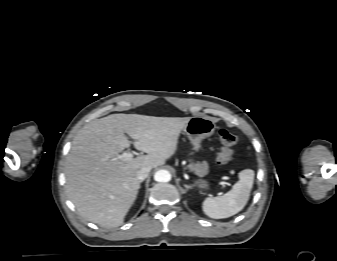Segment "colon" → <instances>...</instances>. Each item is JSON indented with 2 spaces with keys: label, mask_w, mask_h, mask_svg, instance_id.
Segmentation results:
<instances>
[{
  "label": "colon",
  "mask_w": 337,
  "mask_h": 261,
  "mask_svg": "<svg viewBox=\"0 0 337 261\" xmlns=\"http://www.w3.org/2000/svg\"><path fill=\"white\" fill-rule=\"evenodd\" d=\"M220 149L217 154V164L226 166L229 164L234 155V148L237 143V137L227 130H220L218 134Z\"/></svg>",
  "instance_id": "colon-1"
}]
</instances>
